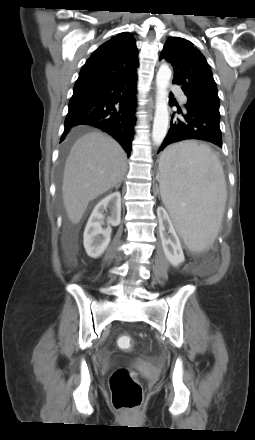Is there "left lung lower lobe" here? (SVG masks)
Masks as SVG:
<instances>
[{"label": "left lung lower lobe", "mask_w": 255, "mask_h": 440, "mask_svg": "<svg viewBox=\"0 0 255 440\" xmlns=\"http://www.w3.org/2000/svg\"><path fill=\"white\" fill-rule=\"evenodd\" d=\"M170 105H173L170 103ZM186 113L183 119L170 122V129L159 152L174 142L187 139L204 140L222 147V134L219 126L220 113L214 110L185 105Z\"/></svg>", "instance_id": "0a47b994"}]
</instances>
